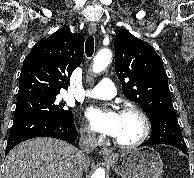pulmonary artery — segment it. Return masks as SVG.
Wrapping results in <instances>:
<instances>
[{"mask_svg":"<svg viewBox=\"0 0 194 178\" xmlns=\"http://www.w3.org/2000/svg\"><path fill=\"white\" fill-rule=\"evenodd\" d=\"M115 94V84L109 78H103L97 86L83 92L86 97L106 100L113 98Z\"/></svg>","mask_w":194,"mask_h":178,"instance_id":"e3ab8cb5","label":"pulmonary artery"}]
</instances>
